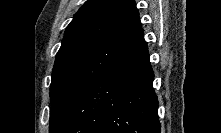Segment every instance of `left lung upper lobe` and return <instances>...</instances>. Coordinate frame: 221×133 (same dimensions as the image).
<instances>
[{"label": "left lung upper lobe", "instance_id": "1", "mask_svg": "<svg viewBox=\"0 0 221 133\" xmlns=\"http://www.w3.org/2000/svg\"><path fill=\"white\" fill-rule=\"evenodd\" d=\"M144 37L133 0H88L67 26L52 71L49 132L90 83Z\"/></svg>", "mask_w": 221, "mask_h": 133}]
</instances>
